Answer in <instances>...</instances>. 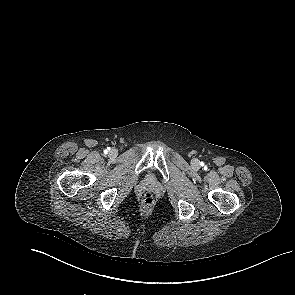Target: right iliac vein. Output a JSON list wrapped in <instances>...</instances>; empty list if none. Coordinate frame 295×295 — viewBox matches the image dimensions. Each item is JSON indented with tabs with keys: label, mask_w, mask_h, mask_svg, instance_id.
<instances>
[{
	"label": "right iliac vein",
	"mask_w": 295,
	"mask_h": 295,
	"mask_svg": "<svg viewBox=\"0 0 295 295\" xmlns=\"http://www.w3.org/2000/svg\"><path fill=\"white\" fill-rule=\"evenodd\" d=\"M118 154V151L116 149H112L109 153L110 157L115 158Z\"/></svg>",
	"instance_id": "1"
}]
</instances>
